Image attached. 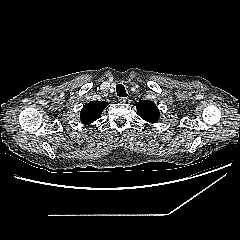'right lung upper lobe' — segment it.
I'll return each mask as SVG.
<instances>
[{"label": "right lung upper lobe", "instance_id": "1", "mask_svg": "<svg viewBox=\"0 0 240 240\" xmlns=\"http://www.w3.org/2000/svg\"><path fill=\"white\" fill-rule=\"evenodd\" d=\"M106 106L107 102L105 101H94L85 104L80 114L82 123L89 125L99 119Z\"/></svg>", "mask_w": 240, "mask_h": 240}]
</instances>
